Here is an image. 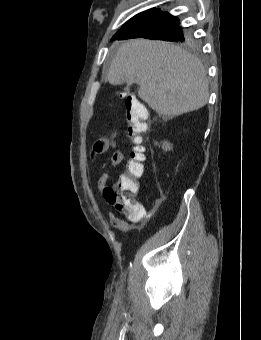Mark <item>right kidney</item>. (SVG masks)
Instances as JSON below:
<instances>
[{"label":"right kidney","mask_w":261,"mask_h":340,"mask_svg":"<svg viewBox=\"0 0 261 340\" xmlns=\"http://www.w3.org/2000/svg\"><path fill=\"white\" fill-rule=\"evenodd\" d=\"M162 149L165 152L170 151L172 149V144L168 141H163L162 142Z\"/></svg>","instance_id":"1"}]
</instances>
